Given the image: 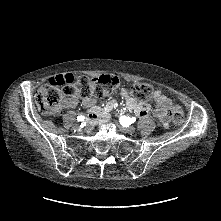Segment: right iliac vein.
Returning a JSON list of instances; mask_svg holds the SVG:
<instances>
[{"label":"right iliac vein","instance_id":"right-iliac-vein-1","mask_svg":"<svg viewBox=\"0 0 221 221\" xmlns=\"http://www.w3.org/2000/svg\"><path fill=\"white\" fill-rule=\"evenodd\" d=\"M73 127H74L75 129H79V124H78V123H75V124L73 125Z\"/></svg>","mask_w":221,"mask_h":221}]
</instances>
